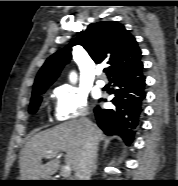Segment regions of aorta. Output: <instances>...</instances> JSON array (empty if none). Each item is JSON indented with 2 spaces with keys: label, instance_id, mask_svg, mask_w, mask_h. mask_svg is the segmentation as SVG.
Segmentation results:
<instances>
[{
  "label": "aorta",
  "instance_id": "aorta-1",
  "mask_svg": "<svg viewBox=\"0 0 178 186\" xmlns=\"http://www.w3.org/2000/svg\"><path fill=\"white\" fill-rule=\"evenodd\" d=\"M70 80H71V82H75L76 81V74L74 73V72H72L71 74H70Z\"/></svg>",
  "mask_w": 178,
  "mask_h": 186
}]
</instances>
